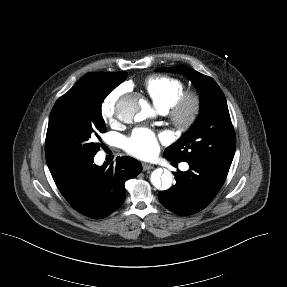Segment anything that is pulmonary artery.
I'll list each match as a JSON object with an SVG mask.
<instances>
[{
    "mask_svg": "<svg viewBox=\"0 0 287 287\" xmlns=\"http://www.w3.org/2000/svg\"><path fill=\"white\" fill-rule=\"evenodd\" d=\"M162 112H165V111H162ZM181 168H182L183 170H187V169H188V165H187L186 163H184V164L181 166Z\"/></svg>",
    "mask_w": 287,
    "mask_h": 287,
    "instance_id": "1",
    "label": "pulmonary artery"
}]
</instances>
